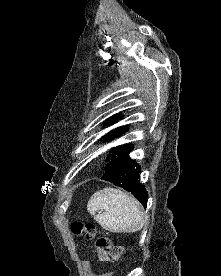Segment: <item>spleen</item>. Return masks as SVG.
Masks as SVG:
<instances>
[{
    "label": "spleen",
    "mask_w": 221,
    "mask_h": 276,
    "mask_svg": "<svg viewBox=\"0 0 221 276\" xmlns=\"http://www.w3.org/2000/svg\"><path fill=\"white\" fill-rule=\"evenodd\" d=\"M87 211L103 229L113 233H134L144 225L138 201L111 187L94 193L88 201Z\"/></svg>",
    "instance_id": "obj_1"
}]
</instances>
